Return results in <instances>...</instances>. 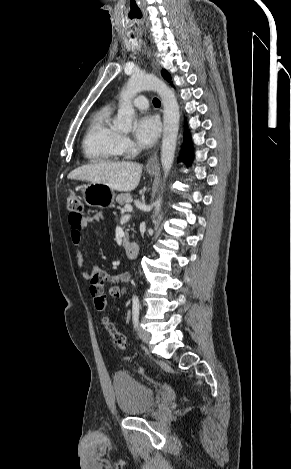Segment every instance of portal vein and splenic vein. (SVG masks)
I'll return each instance as SVG.
<instances>
[{"label": "portal vein and splenic vein", "mask_w": 291, "mask_h": 469, "mask_svg": "<svg viewBox=\"0 0 291 469\" xmlns=\"http://www.w3.org/2000/svg\"><path fill=\"white\" fill-rule=\"evenodd\" d=\"M124 209H125L126 211H132V206H131L130 204H126L125 207H124Z\"/></svg>", "instance_id": "1"}]
</instances>
